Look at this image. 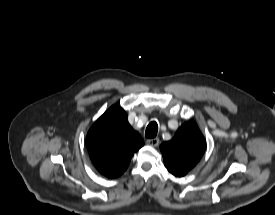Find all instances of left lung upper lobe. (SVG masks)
Returning <instances> with one entry per match:
<instances>
[{
	"instance_id": "left-lung-upper-lobe-1",
	"label": "left lung upper lobe",
	"mask_w": 275,
	"mask_h": 215,
	"mask_svg": "<svg viewBox=\"0 0 275 215\" xmlns=\"http://www.w3.org/2000/svg\"><path fill=\"white\" fill-rule=\"evenodd\" d=\"M206 141L194 121L183 124L171 141L160 146L165 167L177 177L186 175L201 159Z\"/></svg>"
}]
</instances>
